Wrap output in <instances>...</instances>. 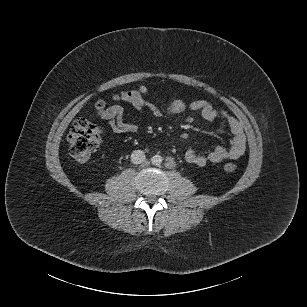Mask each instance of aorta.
<instances>
[{"instance_id": "aorta-1", "label": "aorta", "mask_w": 307, "mask_h": 307, "mask_svg": "<svg viewBox=\"0 0 307 307\" xmlns=\"http://www.w3.org/2000/svg\"><path fill=\"white\" fill-rule=\"evenodd\" d=\"M162 161H163V158L160 155H154L151 157V163L153 165H160Z\"/></svg>"}]
</instances>
